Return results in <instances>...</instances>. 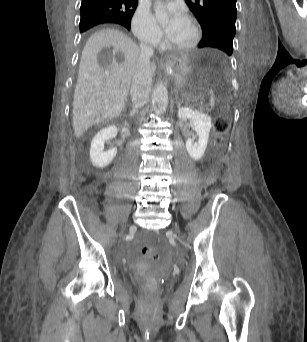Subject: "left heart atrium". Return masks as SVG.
<instances>
[{"label": "left heart atrium", "mask_w": 307, "mask_h": 342, "mask_svg": "<svg viewBox=\"0 0 307 342\" xmlns=\"http://www.w3.org/2000/svg\"><path fill=\"white\" fill-rule=\"evenodd\" d=\"M160 13L164 14V18H161ZM152 19L159 38L169 44L177 41L188 28L186 18L171 5L158 8Z\"/></svg>", "instance_id": "obj_1"}]
</instances>
